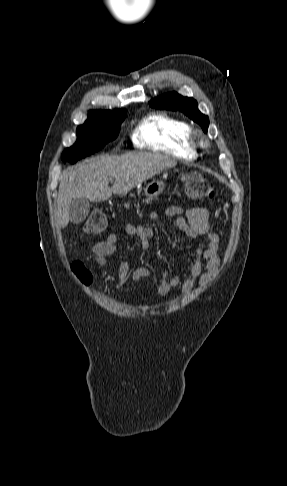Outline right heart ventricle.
I'll return each mask as SVG.
<instances>
[{
  "label": "right heart ventricle",
  "instance_id": "e07e8e85",
  "mask_svg": "<svg viewBox=\"0 0 287 486\" xmlns=\"http://www.w3.org/2000/svg\"><path fill=\"white\" fill-rule=\"evenodd\" d=\"M132 141L138 149L161 152L177 158L196 155L190 141V126L181 118L167 114L145 117L134 129Z\"/></svg>",
  "mask_w": 287,
  "mask_h": 486
}]
</instances>
